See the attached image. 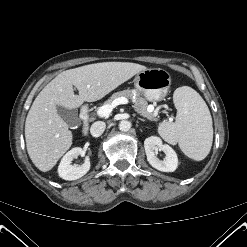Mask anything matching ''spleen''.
Returning <instances> with one entry per match:
<instances>
[{
	"mask_svg": "<svg viewBox=\"0 0 247 247\" xmlns=\"http://www.w3.org/2000/svg\"><path fill=\"white\" fill-rule=\"evenodd\" d=\"M176 121H163L159 133L171 144L179 145L189 158L201 161L209 154L213 142L212 117L203 98L193 88L182 86L173 94Z\"/></svg>",
	"mask_w": 247,
	"mask_h": 247,
	"instance_id": "3e777b00",
	"label": "spleen"
}]
</instances>
